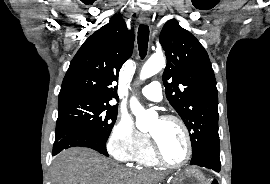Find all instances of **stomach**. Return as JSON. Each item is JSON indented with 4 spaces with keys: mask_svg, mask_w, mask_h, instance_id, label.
<instances>
[{
    "mask_svg": "<svg viewBox=\"0 0 270 184\" xmlns=\"http://www.w3.org/2000/svg\"><path fill=\"white\" fill-rule=\"evenodd\" d=\"M170 184H208V182L200 171L187 168L171 176Z\"/></svg>",
    "mask_w": 270,
    "mask_h": 184,
    "instance_id": "0dacf381",
    "label": "stomach"
}]
</instances>
